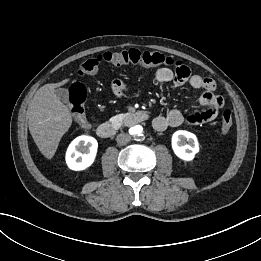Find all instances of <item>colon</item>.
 I'll use <instances>...</instances> for the list:
<instances>
[{"label": "colon", "mask_w": 261, "mask_h": 261, "mask_svg": "<svg viewBox=\"0 0 261 261\" xmlns=\"http://www.w3.org/2000/svg\"><path fill=\"white\" fill-rule=\"evenodd\" d=\"M107 62L113 65L133 64L143 67L158 65H180L172 58L155 51H139L129 49L123 51L105 52L80 63L78 73L82 76L95 74L101 63ZM86 89L80 83H75L68 90V105L72 111L76 123L86 128L88 120L85 113ZM233 125V116L230 110L222 113L220 134L225 136Z\"/></svg>", "instance_id": "5ec220e1"}]
</instances>
